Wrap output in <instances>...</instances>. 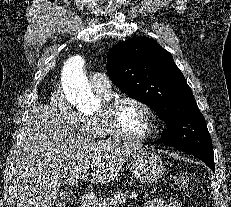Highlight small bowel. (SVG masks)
<instances>
[{"label":"small bowel","instance_id":"obj_1","mask_svg":"<svg viewBox=\"0 0 231 207\" xmlns=\"http://www.w3.org/2000/svg\"><path fill=\"white\" fill-rule=\"evenodd\" d=\"M139 207H182L176 199L152 198L144 202Z\"/></svg>","mask_w":231,"mask_h":207}]
</instances>
